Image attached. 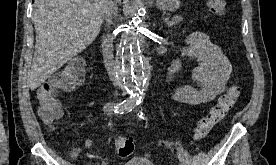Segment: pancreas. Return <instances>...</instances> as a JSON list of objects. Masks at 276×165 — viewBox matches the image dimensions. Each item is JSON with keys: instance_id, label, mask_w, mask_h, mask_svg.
Wrapping results in <instances>:
<instances>
[{"instance_id": "obj_1", "label": "pancreas", "mask_w": 276, "mask_h": 165, "mask_svg": "<svg viewBox=\"0 0 276 165\" xmlns=\"http://www.w3.org/2000/svg\"><path fill=\"white\" fill-rule=\"evenodd\" d=\"M174 20L176 21V23H178L182 20V18L181 17H175Z\"/></svg>"}]
</instances>
